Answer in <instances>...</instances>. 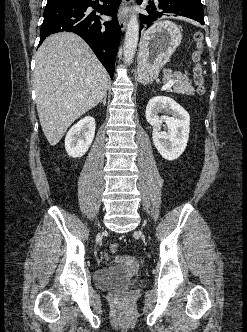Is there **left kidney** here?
<instances>
[{
  "label": "left kidney",
  "instance_id": "left-kidney-1",
  "mask_svg": "<svg viewBox=\"0 0 247 332\" xmlns=\"http://www.w3.org/2000/svg\"><path fill=\"white\" fill-rule=\"evenodd\" d=\"M162 111L171 116H159ZM147 122L153 127V142L160 155L169 161L180 157L189 139L190 116L188 112L172 98L156 96L149 100L146 107ZM167 132L160 131L162 123Z\"/></svg>",
  "mask_w": 247,
  "mask_h": 332
}]
</instances>
